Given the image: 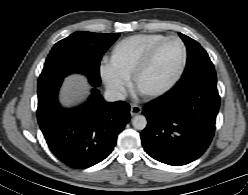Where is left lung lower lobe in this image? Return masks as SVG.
Masks as SVG:
<instances>
[{
	"label": "left lung lower lobe",
	"instance_id": "obj_1",
	"mask_svg": "<svg viewBox=\"0 0 248 195\" xmlns=\"http://www.w3.org/2000/svg\"><path fill=\"white\" fill-rule=\"evenodd\" d=\"M219 104L216 81L177 84L166 97L143 108L148 120L140 135L144 150L173 166L196 160L211 143Z\"/></svg>",
	"mask_w": 248,
	"mask_h": 195
}]
</instances>
